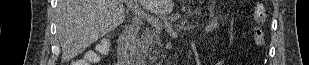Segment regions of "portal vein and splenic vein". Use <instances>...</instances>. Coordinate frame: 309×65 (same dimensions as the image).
<instances>
[{
  "label": "portal vein and splenic vein",
  "mask_w": 309,
  "mask_h": 65,
  "mask_svg": "<svg viewBox=\"0 0 309 65\" xmlns=\"http://www.w3.org/2000/svg\"><path fill=\"white\" fill-rule=\"evenodd\" d=\"M132 11L135 15H137L138 17L143 18L144 20H146L148 23H150L152 26H154L156 29H159L161 26V23L158 21L157 18H155L152 15H149L147 13H145L141 7L138 4H135L132 7Z\"/></svg>",
  "instance_id": "18ae733b"
}]
</instances>
